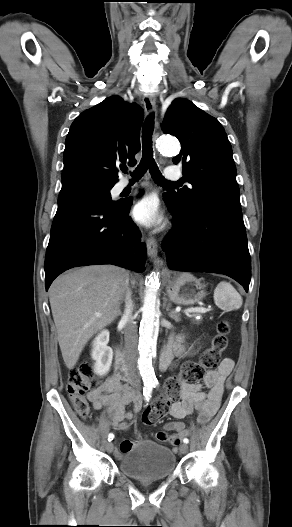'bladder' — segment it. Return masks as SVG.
<instances>
[{"mask_svg":"<svg viewBox=\"0 0 292 527\" xmlns=\"http://www.w3.org/2000/svg\"><path fill=\"white\" fill-rule=\"evenodd\" d=\"M118 468L123 475L137 480L165 479L173 474L176 457L164 445L143 441L122 453Z\"/></svg>","mask_w":292,"mask_h":527,"instance_id":"bladder-1","label":"bladder"}]
</instances>
